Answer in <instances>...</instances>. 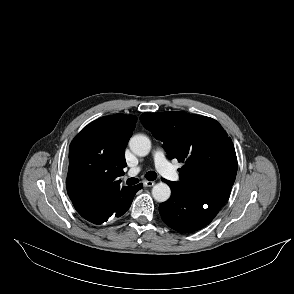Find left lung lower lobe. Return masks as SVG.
<instances>
[{
    "instance_id": "1",
    "label": "left lung lower lobe",
    "mask_w": 294,
    "mask_h": 294,
    "mask_svg": "<svg viewBox=\"0 0 294 294\" xmlns=\"http://www.w3.org/2000/svg\"><path fill=\"white\" fill-rule=\"evenodd\" d=\"M164 181L172 194L168 201L160 204V215L169 227L182 233L197 231L209 224L230 192L226 187L184 190L174 182Z\"/></svg>"
}]
</instances>
